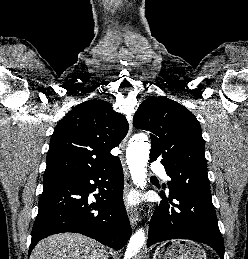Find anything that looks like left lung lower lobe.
<instances>
[{
    "label": "left lung lower lobe",
    "mask_w": 248,
    "mask_h": 259,
    "mask_svg": "<svg viewBox=\"0 0 248 259\" xmlns=\"http://www.w3.org/2000/svg\"><path fill=\"white\" fill-rule=\"evenodd\" d=\"M149 227L147 245L170 239H189L212 247L224 259V244L211 199L161 192Z\"/></svg>",
    "instance_id": "1"
}]
</instances>
